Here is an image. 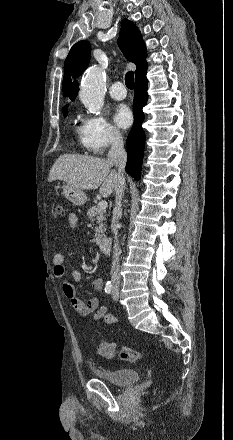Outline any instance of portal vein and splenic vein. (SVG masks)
<instances>
[{"mask_svg":"<svg viewBox=\"0 0 233 440\" xmlns=\"http://www.w3.org/2000/svg\"><path fill=\"white\" fill-rule=\"evenodd\" d=\"M107 205H108L107 201L102 200L98 203V208L105 210L107 208Z\"/></svg>","mask_w":233,"mask_h":440,"instance_id":"obj_1","label":"portal vein and splenic vein"}]
</instances>
